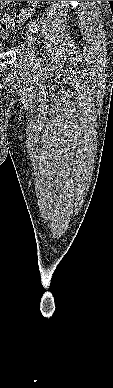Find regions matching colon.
<instances>
[{
    "instance_id": "1",
    "label": "colon",
    "mask_w": 113,
    "mask_h": 388,
    "mask_svg": "<svg viewBox=\"0 0 113 388\" xmlns=\"http://www.w3.org/2000/svg\"><path fill=\"white\" fill-rule=\"evenodd\" d=\"M40 1H30L29 6L15 15H4L0 19V29L19 26L24 23L38 6Z\"/></svg>"
}]
</instances>
